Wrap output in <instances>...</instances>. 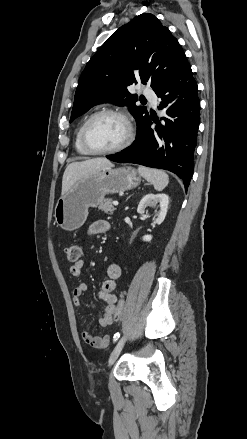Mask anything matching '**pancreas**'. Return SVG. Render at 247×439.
Here are the masks:
<instances>
[{
  "label": "pancreas",
  "instance_id": "cf45deb5",
  "mask_svg": "<svg viewBox=\"0 0 247 439\" xmlns=\"http://www.w3.org/2000/svg\"><path fill=\"white\" fill-rule=\"evenodd\" d=\"M112 202H113V199H111V198L104 199L99 204V210H102L106 214H113L115 208L113 207Z\"/></svg>",
  "mask_w": 247,
  "mask_h": 439
}]
</instances>
